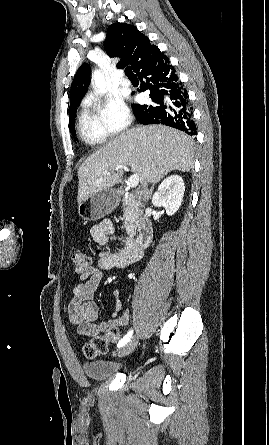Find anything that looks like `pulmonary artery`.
<instances>
[{"mask_svg": "<svg viewBox=\"0 0 269 445\" xmlns=\"http://www.w3.org/2000/svg\"><path fill=\"white\" fill-rule=\"evenodd\" d=\"M119 83L123 87H129L131 85L130 80L128 78H126V77H123V76L120 78Z\"/></svg>", "mask_w": 269, "mask_h": 445, "instance_id": "e3ab8cb5", "label": "pulmonary artery"}]
</instances>
